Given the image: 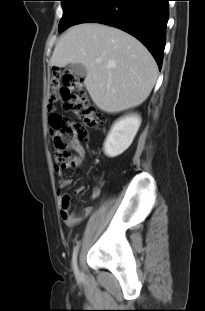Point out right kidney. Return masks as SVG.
<instances>
[{
  "mask_svg": "<svg viewBox=\"0 0 205 311\" xmlns=\"http://www.w3.org/2000/svg\"><path fill=\"white\" fill-rule=\"evenodd\" d=\"M141 124V118L136 114L124 116L117 120L104 143V153L108 157L122 154L133 142Z\"/></svg>",
  "mask_w": 205,
  "mask_h": 311,
  "instance_id": "1",
  "label": "right kidney"
}]
</instances>
